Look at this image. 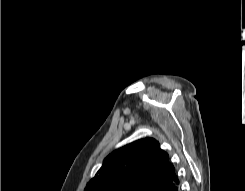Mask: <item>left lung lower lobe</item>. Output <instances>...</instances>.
Returning <instances> with one entry per match:
<instances>
[{
  "instance_id": "left-lung-lower-lobe-1",
  "label": "left lung lower lobe",
  "mask_w": 245,
  "mask_h": 191,
  "mask_svg": "<svg viewBox=\"0 0 245 191\" xmlns=\"http://www.w3.org/2000/svg\"><path fill=\"white\" fill-rule=\"evenodd\" d=\"M158 191H180V182L176 171Z\"/></svg>"
}]
</instances>
